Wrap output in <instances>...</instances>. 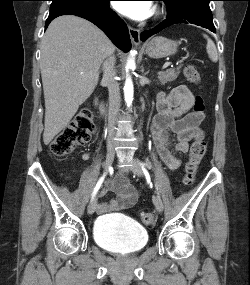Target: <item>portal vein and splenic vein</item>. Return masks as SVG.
Instances as JSON below:
<instances>
[{"label": "portal vein and splenic vein", "instance_id": "1", "mask_svg": "<svg viewBox=\"0 0 250 285\" xmlns=\"http://www.w3.org/2000/svg\"><path fill=\"white\" fill-rule=\"evenodd\" d=\"M169 65H170L169 62L165 63V64L163 65V69L167 68Z\"/></svg>", "mask_w": 250, "mask_h": 285}]
</instances>
